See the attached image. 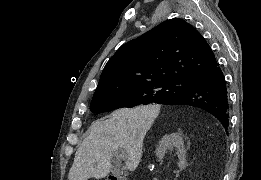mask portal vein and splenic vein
Here are the masks:
<instances>
[{"instance_id": "obj_1", "label": "portal vein and splenic vein", "mask_w": 261, "mask_h": 180, "mask_svg": "<svg viewBox=\"0 0 261 180\" xmlns=\"http://www.w3.org/2000/svg\"><path fill=\"white\" fill-rule=\"evenodd\" d=\"M120 156H122V160H127V154H125V150H123V152H121Z\"/></svg>"}]
</instances>
